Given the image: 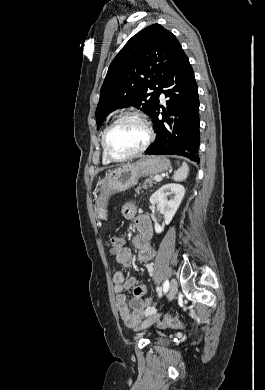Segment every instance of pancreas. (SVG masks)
Segmentation results:
<instances>
[{
  "instance_id": "cf45deb5",
  "label": "pancreas",
  "mask_w": 265,
  "mask_h": 390,
  "mask_svg": "<svg viewBox=\"0 0 265 390\" xmlns=\"http://www.w3.org/2000/svg\"><path fill=\"white\" fill-rule=\"evenodd\" d=\"M146 184H149L150 186H152V185L154 184L153 178H147V179L145 180L144 185H142V186H140V187H138V188L136 189L137 193L139 192V190H140L141 188H145Z\"/></svg>"
}]
</instances>
